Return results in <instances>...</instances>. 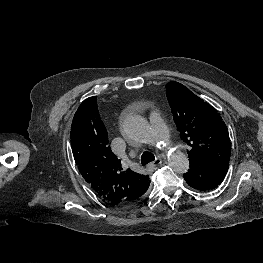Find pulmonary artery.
Listing matches in <instances>:
<instances>
[{
	"label": "pulmonary artery",
	"instance_id": "pulmonary-artery-1",
	"mask_svg": "<svg viewBox=\"0 0 263 263\" xmlns=\"http://www.w3.org/2000/svg\"><path fill=\"white\" fill-rule=\"evenodd\" d=\"M150 122L155 134L161 138L167 136V128L158 112L152 111L150 114Z\"/></svg>",
	"mask_w": 263,
	"mask_h": 263
}]
</instances>
